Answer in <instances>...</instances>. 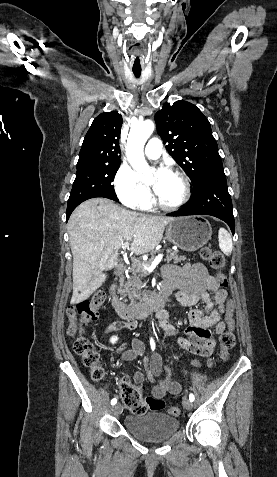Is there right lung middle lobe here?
<instances>
[{
	"instance_id": "dd1d6c3e",
	"label": "right lung middle lobe",
	"mask_w": 277,
	"mask_h": 477,
	"mask_svg": "<svg viewBox=\"0 0 277 477\" xmlns=\"http://www.w3.org/2000/svg\"><path fill=\"white\" fill-rule=\"evenodd\" d=\"M120 164L96 165L77 168L76 178L68 199L67 217L83 201L104 197L118 201L114 186L111 184Z\"/></svg>"
}]
</instances>
